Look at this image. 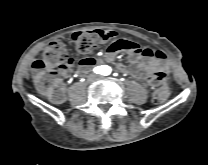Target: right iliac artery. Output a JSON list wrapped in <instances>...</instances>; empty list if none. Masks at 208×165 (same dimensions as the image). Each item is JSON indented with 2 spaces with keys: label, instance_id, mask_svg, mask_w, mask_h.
Masks as SVG:
<instances>
[{
  "label": "right iliac artery",
  "instance_id": "right-iliac-artery-1",
  "mask_svg": "<svg viewBox=\"0 0 208 165\" xmlns=\"http://www.w3.org/2000/svg\"><path fill=\"white\" fill-rule=\"evenodd\" d=\"M94 72L97 74H102L104 72V68L102 66L95 67Z\"/></svg>",
  "mask_w": 208,
  "mask_h": 165
}]
</instances>
